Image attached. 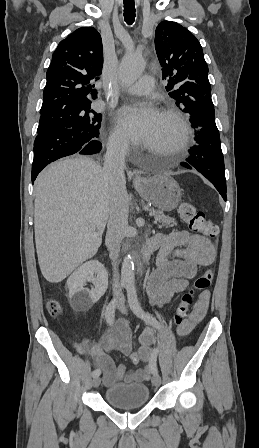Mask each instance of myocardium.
I'll use <instances>...</instances> for the list:
<instances>
[{"instance_id": "obj_1", "label": "myocardium", "mask_w": 259, "mask_h": 448, "mask_svg": "<svg viewBox=\"0 0 259 448\" xmlns=\"http://www.w3.org/2000/svg\"><path fill=\"white\" fill-rule=\"evenodd\" d=\"M159 116L171 117L178 125V135L176 140L163 151V153L178 157L182 154L189 140L190 126L184 114L172 104L163 105L159 111Z\"/></svg>"}]
</instances>
